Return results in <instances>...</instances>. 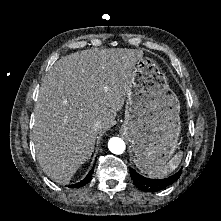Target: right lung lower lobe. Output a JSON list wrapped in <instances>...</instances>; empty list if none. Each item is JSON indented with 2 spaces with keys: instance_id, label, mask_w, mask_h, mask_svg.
I'll return each instance as SVG.
<instances>
[{
  "instance_id": "obj_1",
  "label": "right lung lower lobe",
  "mask_w": 221,
  "mask_h": 221,
  "mask_svg": "<svg viewBox=\"0 0 221 221\" xmlns=\"http://www.w3.org/2000/svg\"><path fill=\"white\" fill-rule=\"evenodd\" d=\"M92 174H93V169L88 173V175L82 181H80L76 184L70 185L69 187L79 188V187L86 185L87 183H89L91 181Z\"/></svg>"
}]
</instances>
